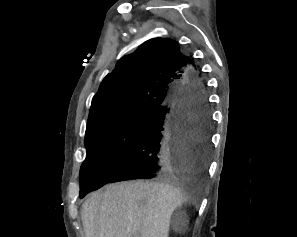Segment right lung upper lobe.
Segmentation results:
<instances>
[{
	"label": "right lung upper lobe",
	"instance_id": "cb5924a9",
	"mask_svg": "<svg viewBox=\"0 0 297 237\" xmlns=\"http://www.w3.org/2000/svg\"><path fill=\"white\" fill-rule=\"evenodd\" d=\"M193 65L175 41H146L103 79L92 100L87 128L114 116L154 112L169 102L175 87L189 81Z\"/></svg>",
	"mask_w": 297,
	"mask_h": 237
}]
</instances>
